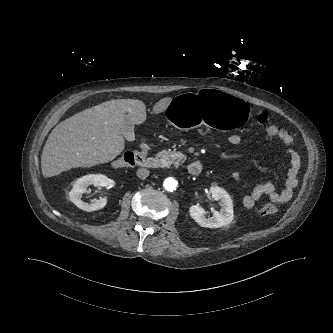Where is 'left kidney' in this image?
<instances>
[{
    "instance_id": "5707ae66",
    "label": "left kidney",
    "mask_w": 333,
    "mask_h": 333,
    "mask_svg": "<svg viewBox=\"0 0 333 333\" xmlns=\"http://www.w3.org/2000/svg\"><path fill=\"white\" fill-rule=\"evenodd\" d=\"M210 193L214 200L221 202L220 211H214L213 217L206 218L205 211L199 205H192L189 208L190 216L201 226L205 228H220L230 224L233 221V202L229 194L219 186H211Z\"/></svg>"
}]
</instances>
